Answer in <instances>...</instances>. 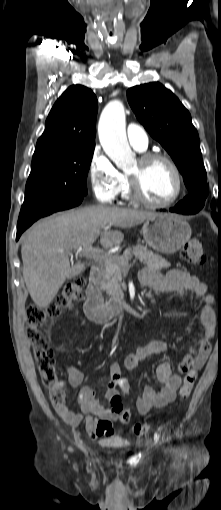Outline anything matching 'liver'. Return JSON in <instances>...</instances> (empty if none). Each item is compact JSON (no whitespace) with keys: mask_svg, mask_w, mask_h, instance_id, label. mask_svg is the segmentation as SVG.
Masks as SVG:
<instances>
[{"mask_svg":"<svg viewBox=\"0 0 221 510\" xmlns=\"http://www.w3.org/2000/svg\"><path fill=\"white\" fill-rule=\"evenodd\" d=\"M156 215L151 211L98 205L35 223L23 235L21 247L23 278L34 303L40 308L47 307L66 280L86 269L83 263L70 265L73 251L79 248L85 251L98 237L105 249L119 245L124 235L120 230H110L111 226L130 228Z\"/></svg>","mask_w":221,"mask_h":510,"instance_id":"6515ba94","label":"liver"}]
</instances>
